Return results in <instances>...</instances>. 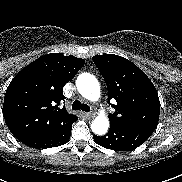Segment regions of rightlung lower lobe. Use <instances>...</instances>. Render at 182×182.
<instances>
[{"mask_svg":"<svg viewBox=\"0 0 182 182\" xmlns=\"http://www.w3.org/2000/svg\"><path fill=\"white\" fill-rule=\"evenodd\" d=\"M75 121L46 134L27 139L22 143L33 148H50L66 144L69 141L72 124Z\"/></svg>","mask_w":182,"mask_h":182,"instance_id":"98d812e1","label":"right lung lower lobe"}]
</instances>
